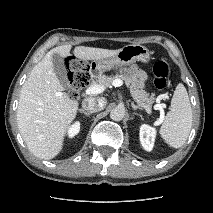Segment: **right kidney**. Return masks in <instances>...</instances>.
<instances>
[{
    "label": "right kidney",
    "mask_w": 213,
    "mask_h": 213,
    "mask_svg": "<svg viewBox=\"0 0 213 213\" xmlns=\"http://www.w3.org/2000/svg\"><path fill=\"white\" fill-rule=\"evenodd\" d=\"M80 130V123L75 122L69 129H68V135L69 137H74L79 133Z\"/></svg>",
    "instance_id": "obj_1"
}]
</instances>
